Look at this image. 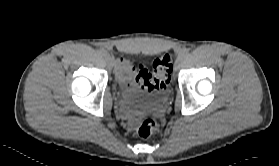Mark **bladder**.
<instances>
[{
  "instance_id": "31cf9c89",
  "label": "bladder",
  "mask_w": 279,
  "mask_h": 166,
  "mask_svg": "<svg viewBox=\"0 0 279 166\" xmlns=\"http://www.w3.org/2000/svg\"><path fill=\"white\" fill-rule=\"evenodd\" d=\"M125 96L129 97V94H128V93H126V94H125Z\"/></svg>"
}]
</instances>
